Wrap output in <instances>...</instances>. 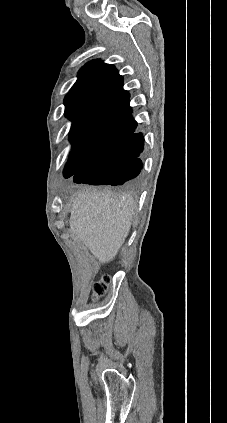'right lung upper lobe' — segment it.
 Instances as JSON below:
<instances>
[{
	"mask_svg": "<svg viewBox=\"0 0 227 423\" xmlns=\"http://www.w3.org/2000/svg\"><path fill=\"white\" fill-rule=\"evenodd\" d=\"M126 102L129 94L114 66L94 60L81 68L64 99L65 115L72 121V151L93 155L130 137L136 127L105 118L110 109Z\"/></svg>",
	"mask_w": 227,
	"mask_h": 423,
	"instance_id": "right-lung-upper-lobe-1",
	"label": "right lung upper lobe"
}]
</instances>
